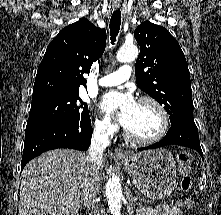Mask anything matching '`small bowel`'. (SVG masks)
Instances as JSON below:
<instances>
[{"label":"small bowel","instance_id":"c3829d8e","mask_svg":"<svg viewBox=\"0 0 221 215\" xmlns=\"http://www.w3.org/2000/svg\"><path fill=\"white\" fill-rule=\"evenodd\" d=\"M137 215H183V212L178 207L161 204L155 208H140Z\"/></svg>","mask_w":221,"mask_h":215}]
</instances>
